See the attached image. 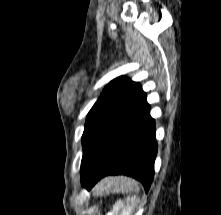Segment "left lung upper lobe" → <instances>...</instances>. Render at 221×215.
I'll return each instance as SVG.
<instances>
[{"label":"left lung upper lobe","instance_id":"5c2ea615","mask_svg":"<svg viewBox=\"0 0 221 215\" xmlns=\"http://www.w3.org/2000/svg\"><path fill=\"white\" fill-rule=\"evenodd\" d=\"M142 94L141 85L125 77H118L106 86L87 115L82 135L81 179L91 169L113 122Z\"/></svg>","mask_w":221,"mask_h":215}]
</instances>
